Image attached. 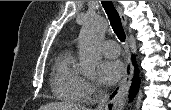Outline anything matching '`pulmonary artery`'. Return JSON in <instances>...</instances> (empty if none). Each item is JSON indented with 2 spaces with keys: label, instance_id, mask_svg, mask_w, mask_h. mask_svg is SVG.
Instances as JSON below:
<instances>
[{
  "label": "pulmonary artery",
  "instance_id": "obj_1",
  "mask_svg": "<svg viewBox=\"0 0 171 110\" xmlns=\"http://www.w3.org/2000/svg\"><path fill=\"white\" fill-rule=\"evenodd\" d=\"M102 53L106 57H117L120 54V47L114 40H106L101 45Z\"/></svg>",
  "mask_w": 171,
  "mask_h": 110
}]
</instances>
